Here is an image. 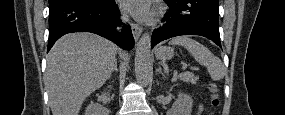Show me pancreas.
Masks as SVG:
<instances>
[{
	"label": "pancreas",
	"mask_w": 285,
	"mask_h": 115,
	"mask_svg": "<svg viewBox=\"0 0 285 115\" xmlns=\"http://www.w3.org/2000/svg\"><path fill=\"white\" fill-rule=\"evenodd\" d=\"M179 79L186 83L196 84L198 77L191 72H183L179 75Z\"/></svg>",
	"instance_id": "cf45deb5"
}]
</instances>
